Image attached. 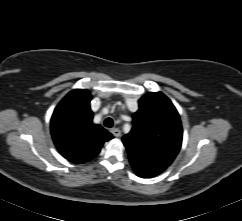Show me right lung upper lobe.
<instances>
[{"instance_id": "1", "label": "right lung upper lobe", "mask_w": 242, "mask_h": 221, "mask_svg": "<svg viewBox=\"0 0 242 221\" xmlns=\"http://www.w3.org/2000/svg\"><path fill=\"white\" fill-rule=\"evenodd\" d=\"M90 101L88 90L74 89L61 100L51 118L53 141L72 163L93 159L104 142L113 138L102 126L92 123Z\"/></svg>"}]
</instances>
